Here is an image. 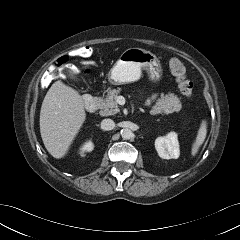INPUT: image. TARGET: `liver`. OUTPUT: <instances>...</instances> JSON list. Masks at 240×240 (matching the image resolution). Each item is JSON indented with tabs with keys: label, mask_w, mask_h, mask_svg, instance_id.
<instances>
[{
	"label": "liver",
	"mask_w": 240,
	"mask_h": 240,
	"mask_svg": "<svg viewBox=\"0 0 240 240\" xmlns=\"http://www.w3.org/2000/svg\"><path fill=\"white\" fill-rule=\"evenodd\" d=\"M86 120L83 97L58 80L49 88L40 110V133L47 151L64 157Z\"/></svg>",
	"instance_id": "liver-1"
}]
</instances>
